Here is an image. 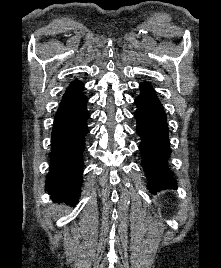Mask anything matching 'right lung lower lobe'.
Listing matches in <instances>:
<instances>
[{"label":"right lung lower lobe","mask_w":221,"mask_h":268,"mask_svg":"<svg viewBox=\"0 0 221 268\" xmlns=\"http://www.w3.org/2000/svg\"><path fill=\"white\" fill-rule=\"evenodd\" d=\"M87 99L81 94L64 100L56 112L51 133L50 170L46 188L51 197L77 204L82 183L85 138L89 132Z\"/></svg>","instance_id":"1"}]
</instances>
